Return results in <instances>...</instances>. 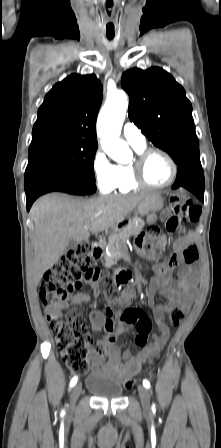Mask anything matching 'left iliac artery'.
Segmentation results:
<instances>
[{"label":"left iliac artery","instance_id":"44dca946","mask_svg":"<svg viewBox=\"0 0 221 448\" xmlns=\"http://www.w3.org/2000/svg\"><path fill=\"white\" fill-rule=\"evenodd\" d=\"M143 386L149 389V388H150V383H149V381L146 380V379H144V380H143ZM154 408H155V405L153 404L152 409H154Z\"/></svg>","mask_w":221,"mask_h":448}]
</instances>
